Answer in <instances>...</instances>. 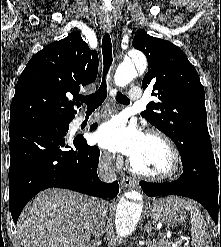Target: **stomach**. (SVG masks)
Segmentation results:
<instances>
[{"mask_svg":"<svg viewBox=\"0 0 221 247\" xmlns=\"http://www.w3.org/2000/svg\"><path fill=\"white\" fill-rule=\"evenodd\" d=\"M186 201L179 197L155 200L149 206L152 218L168 226L181 224L186 218Z\"/></svg>","mask_w":221,"mask_h":247,"instance_id":"obj_1","label":"stomach"}]
</instances>
